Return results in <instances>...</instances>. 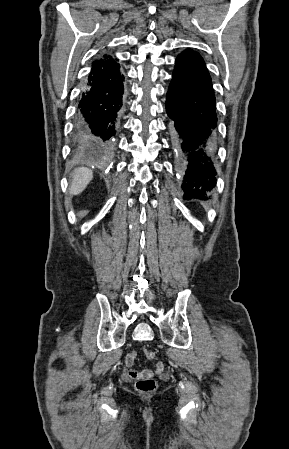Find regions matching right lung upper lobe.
<instances>
[{
    "mask_svg": "<svg viewBox=\"0 0 289 449\" xmlns=\"http://www.w3.org/2000/svg\"><path fill=\"white\" fill-rule=\"evenodd\" d=\"M118 64L115 60L112 59L111 56L104 55L103 59L95 60L92 63L93 68H101V67H108V66H114Z\"/></svg>",
    "mask_w": 289,
    "mask_h": 449,
    "instance_id": "obj_1",
    "label": "right lung upper lobe"
}]
</instances>
